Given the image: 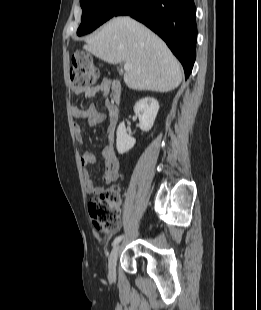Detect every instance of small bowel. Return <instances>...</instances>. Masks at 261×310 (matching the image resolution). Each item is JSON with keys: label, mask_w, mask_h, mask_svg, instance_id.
I'll use <instances>...</instances> for the list:
<instances>
[{"label": "small bowel", "mask_w": 261, "mask_h": 310, "mask_svg": "<svg viewBox=\"0 0 261 310\" xmlns=\"http://www.w3.org/2000/svg\"><path fill=\"white\" fill-rule=\"evenodd\" d=\"M73 92L75 94L84 93L87 98H93L98 94H101L104 98H106L109 92V82L107 80H102L96 86L73 87ZM105 104L107 107V114L109 116V124L106 130L107 145L101 152V158L105 164L103 181L104 183L109 184L118 179L120 162L114 149L115 125L111 121V113L113 111V107L109 104L107 99L105 100ZM71 111L74 118L87 119L91 125L99 124L105 118V115L102 112L98 111L94 105H90L87 109L72 107ZM74 135L78 142L81 143L83 141L82 131L77 123H74ZM96 162L97 157L91 152H85L81 156L83 178L85 181L86 190L90 194H100L103 191L101 187L94 184L93 180L90 177V167Z\"/></svg>", "instance_id": "c3829d8e"}]
</instances>
